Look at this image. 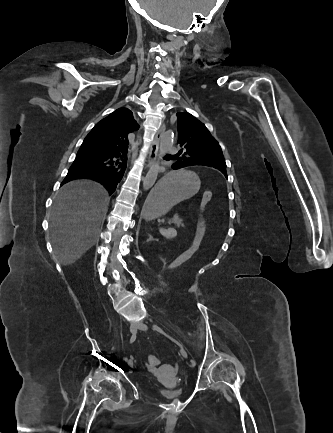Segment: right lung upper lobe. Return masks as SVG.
<instances>
[{
	"label": "right lung upper lobe",
	"instance_id": "right-lung-upper-lobe-1",
	"mask_svg": "<svg viewBox=\"0 0 333 433\" xmlns=\"http://www.w3.org/2000/svg\"><path fill=\"white\" fill-rule=\"evenodd\" d=\"M138 128L132 111L119 108L98 122L87 137L91 142H95L92 146L99 153L127 150L128 134Z\"/></svg>",
	"mask_w": 333,
	"mask_h": 433
}]
</instances>
